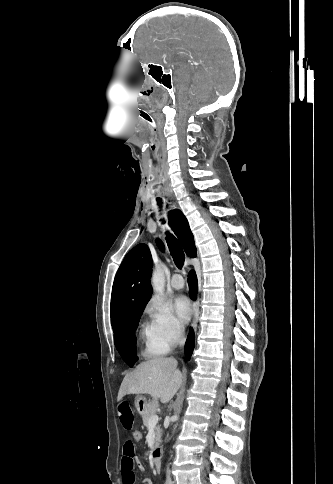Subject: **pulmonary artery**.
<instances>
[{"instance_id":"e3ab8cb5","label":"pulmonary artery","mask_w":333,"mask_h":484,"mask_svg":"<svg viewBox=\"0 0 333 484\" xmlns=\"http://www.w3.org/2000/svg\"><path fill=\"white\" fill-rule=\"evenodd\" d=\"M171 286L177 290L184 287V279L181 274L179 273L173 274L171 278Z\"/></svg>"}]
</instances>
